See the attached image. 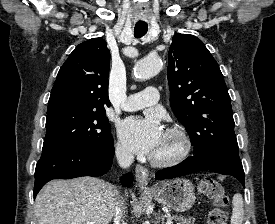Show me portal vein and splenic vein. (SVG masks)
<instances>
[{
  "mask_svg": "<svg viewBox=\"0 0 275 224\" xmlns=\"http://www.w3.org/2000/svg\"><path fill=\"white\" fill-rule=\"evenodd\" d=\"M90 224H92V223H90ZM167 224H171V222H168ZM178 224H180V223H178Z\"/></svg>",
  "mask_w": 275,
  "mask_h": 224,
  "instance_id": "18ae733b",
  "label": "portal vein and splenic vein"
}]
</instances>
